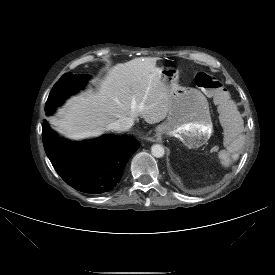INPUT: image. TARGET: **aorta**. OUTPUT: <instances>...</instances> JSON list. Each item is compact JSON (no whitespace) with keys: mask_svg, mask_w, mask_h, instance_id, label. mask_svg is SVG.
<instances>
[{"mask_svg":"<svg viewBox=\"0 0 275 275\" xmlns=\"http://www.w3.org/2000/svg\"><path fill=\"white\" fill-rule=\"evenodd\" d=\"M151 153L154 157L156 158H161L164 156L165 154V150H164V147L160 144H154L152 147H151Z\"/></svg>","mask_w":275,"mask_h":275,"instance_id":"obj_1","label":"aorta"}]
</instances>
